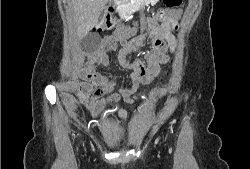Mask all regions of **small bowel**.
Returning <instances> with one entry per match:
<instances>
[{
	"label": "small bowel",
	"mask_w": 250,
	"mask_h": 169,
	"mask_svg": "<svg viewBox=\"0 0 250 169\" xmlns=\"http://www.w3.org/2000/svg\"><path fill=\"white\" fill-rule=\"evenodd\" d=\"M171 27V17H167L162 21L160 33L153 39V48L145 54L147 66L140 60L132 64L126 59L129 52L136 51L139 47L138 42L128 40L130 31L120 27L115 34L104 36L99 46L93 49L89 54L90 60L84 67L88 83L76 92L79 102L95 115L103 108L106 102L104 98H101L104 93L110 94V97H114L115 99L118 98L116 94L112 93L114 82L100 75L95 67V63L108 65L107 52L114 50L118 43L123 47L117 53V60L122 67L133 70L132 79L134 90L138 87L139 83L148 84L155 79H160L162 77V65L169 61L167 49L168 47L173 49L175 46V39L171 34ZM166 92L167 85L163 84L158 94L159 96H164ZM122 96L125 100H128L129 91L123 90ZM120 116L122 119H125L127 117L126 112L121 110Z\"/></svg>",
	"instance_id": "1"
}]
</instances>
